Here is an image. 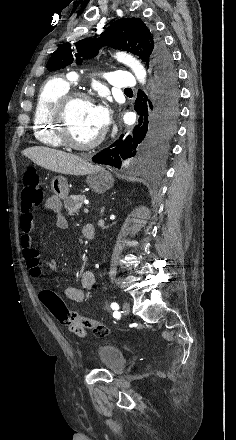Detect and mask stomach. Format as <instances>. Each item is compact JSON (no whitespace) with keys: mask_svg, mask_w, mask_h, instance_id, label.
I'll use <instances>...</instances> for the list:
<instances>
[{"mask_svg":"<svg viewBox=\"0 0 236 440\" xmlns=\"http://www.w3.org/2000/svg\"><path fill=\"white\" fill-rule=\"evenodd\" d=\"M114 179L109 171L104 168H96L87 175L86 183L96 193H105L113 186ZM51 188L56 196L64 199L68 196L69 187L66 178L55 176L51 182Z\"/></svg>","mask_w":236,"mask_h":440,"instance_id":"1","label":"stomach"}]
</instances>
